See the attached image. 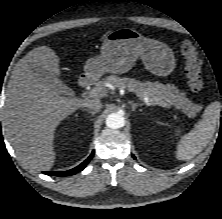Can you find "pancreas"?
Returning a JSON list of instances; mask_svg holds the SVG:
<instances>
[{
    "instance_id": "1",
    "label": "pancreas",
    "mask_w": 222,
    "mask_h": 219,
    "mask_svg": "<svg viewBox=\"0 0 222 219\" xmlns=\"http://www.w3.org/2000/svg\"><path fill=\"white\" fill-rule=\"evenodd\" d=\"M104 83L112 84L116 88H127L131 92L145 94L150 99L151 105H156L159 101H165L181 110L188 117H195L201 110V106L193 103L186 97L184 92H180L174 85H164L159 82L139 81L128 77H118L110 75L103 82L98 83L97 87L106 91Z\"/></svg>"
}]
</instances>
